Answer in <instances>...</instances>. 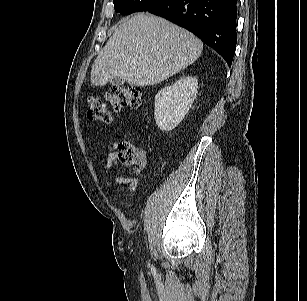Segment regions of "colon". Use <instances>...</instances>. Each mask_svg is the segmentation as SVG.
I'll return each mask as SVG.
<instances>
[{
  "mask_svg": "<svg viewBox=\"0 0 307 301\" xmlns=\"http://www.w3.org/2000/svg\"><path fill=\"white\" fill-rule=\"evenodd\" d=\"M142 104V90L137 87L114 88L102 99L99 96H91L88 99V116L98 122H110L114 112L125 107L139 108ZM120 161L132 167L136 172L141 170V151L127 142L118 145Z\"/></svg>",
  "mask_w": 307,
  "mask_h": 301,
  "instance_id": "colon-1",
  "label": "colon"
}]
</instances>
